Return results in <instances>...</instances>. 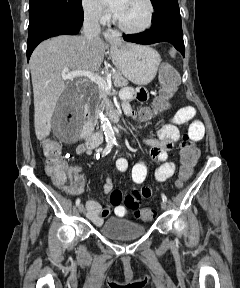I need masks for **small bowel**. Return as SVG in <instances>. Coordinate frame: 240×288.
<instances>
[{
    "instance_id": "small-bowel-1",
    "label": "small bowel",
    "mask_w": 240,
    "mask_h": 288,
    "mask_svg": "<svg viewBox=\"0 0 240 288\" xmlns=\"http://www.w3.org/2000/svg\"><path fill=\"white\" fill-rule=\"evenodd\" d=\"M121 105L125 114L137 119V116L132 109L133 102H144L148 100L149 93L143 87H125L120 93ZM196 110L194 107L185 106L178 109L172 117L166 119L160 117L159 128L156 138L144 139V144L149 147L151 158L160 163V166L155 171V179L158 182H164L169 179L175 172V163L168 160V151L171 150L180 139L179 126L189 123L188 136L193 142L199 141L204 136V125L200 120L195 119ZM78 155H91L92 148L86 143L79 144L76 147ZM129 167L126 158H118L115 163V168L119 173H124ZM82 167L74 165L70 168L69 173L73 179V188L71 194L77 195L82 192L85 179L80 174ZM132 181L135 184H142L147 176V166L144 162L136 163L132 168ZM103 191L110 194L111 204L114 206V213L117 217L123 218L128 214V208L122 204L123 194L120 190L114 189L112 179L107 177L103 185ZM141 198L146 199L152 195L150 186H142L138 191ZM110 207H102L99 203L88 200L86 202L87 217L97 226L103 224L105 218L110 214Z\"/></svg>"
}]
</instances>
